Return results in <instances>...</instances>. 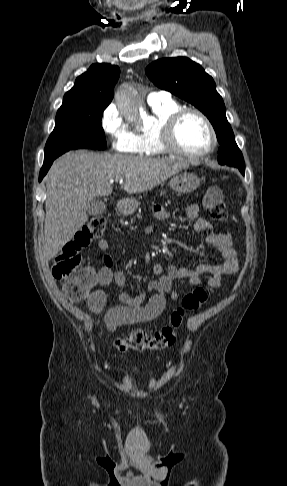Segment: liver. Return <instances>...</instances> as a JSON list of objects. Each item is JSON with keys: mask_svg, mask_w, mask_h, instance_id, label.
<instances>
[{"mask_svg": "<svg viewBox=\"0 0 287 486\" xmlns=\"http://www.w3.org/2000/svg\"><path fill=\"white\" fill-rule=\"evenodd\" d=\"M189 166L187 162L121 154L68 152L54 161L46 181L45 254L55 257L87 222L94 197L109 196L112 183L124 180L129 194L151 190Z\"/></svg>", "mask_w": 287, "mask_h": 486, "instance_id": "obj_1", "label": "liver"}]
</instances>
